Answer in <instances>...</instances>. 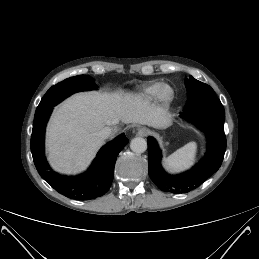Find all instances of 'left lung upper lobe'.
Segmentation results:
<instances>
[{
	"instance_id": "1",
	"label": "left lung upper lobe",
	"mask_w": 259,
	"mask_h": 259,
	"mask_svg": "<svg viewBox=\"0 0 259 259\" xmlns=\"http://www.w3.org/2000/svg\"><path fill=\"white\" fill-rule=\"evenodd\" d=\"M185 85L188 92L185 110L221 103L209 85L196 80L192 76L185 81Z\"/></svg>"
}]
</instances>
